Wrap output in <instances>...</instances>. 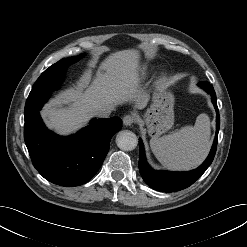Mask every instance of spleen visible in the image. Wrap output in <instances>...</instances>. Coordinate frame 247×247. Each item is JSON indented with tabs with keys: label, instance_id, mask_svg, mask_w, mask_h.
<instances>
[{
	"label": "spleen",
	"instance_id": "spleen-1",
	"mask_svg": "<svg viewBox=\"0 0 247 247\" xmlns=\"http://www.w3.org/2000/svg\"><path fill=\"white\" fill-rule=\"evenodd\" d=\"M209 117L200 114L194 126H185L169 135H154L150 147L158 161L173 170L191 169L200 165L209 153L210 141Z\"/></svg>",
	"mask_w": 247,
	"mask_h": 247
}]
</instances>
